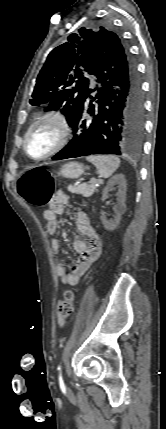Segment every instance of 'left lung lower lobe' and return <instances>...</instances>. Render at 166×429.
Masks as SVG:
<instances>
[{
    "label": "left lung lower lobe",
    "instance_id": "1",
    "mask_svg": "<svg viewBox=\"0 0 166 429\" xmlns=\"http://www.w3.org/2000/svg\"><path fill=\"white\" fill-rule=\"evenodd\" d=\"M100 43L91 74L98 88L87 89L74 123L73 139L52 157L61 160L95 154L136 155L144 131V99L136 65L119 36ZM96 100L97 105L93 102Z\"/></svg>",
    "mask_w": 166,
    "mask_h": 429
}]
</instances>
